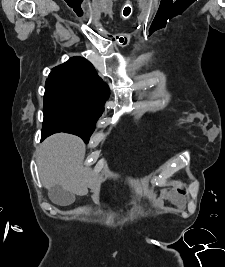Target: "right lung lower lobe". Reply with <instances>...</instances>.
<instances>
[{
  "mask_svg": "<svg viewBox=\"0 0 225 267\" xmlns=\"http://www.w3.org/2000/svg\"><path fill=\"white\" fill-rule=\"evenodd\" d=\"M55 131H56V130H51V131L46 132V131L44 130V128H42V135H41L42 139H45V138L48 137L49 135L53 134Z\"/></svg>",
  "mask_w": 225,
  "mask_h": 267,
  "instance_id": "obj_1",
  "label": "right lung lower lobe"
}]
</instances>
